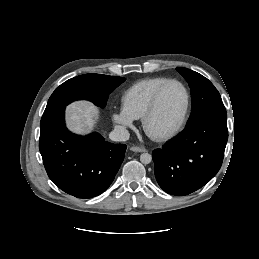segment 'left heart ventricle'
Instances as JSON below:
<instances>
[{"mask_svg": "<svg viewBox=\"0 0 259 259\" xmlns=\"http://www.w3.org/2000/svg\"><path fill=\"white\" fill-rule=\"evenodd\" d=\"M186 104L183 88L172 83L162 92L158 108L149 122V131L161 135L174 128L182 117Z\"/></svg>", "mask_w": 259, "mask_h": 259, "instance_id": "b2bd125f", "label": "left heart ventricle"}]
</instances>
